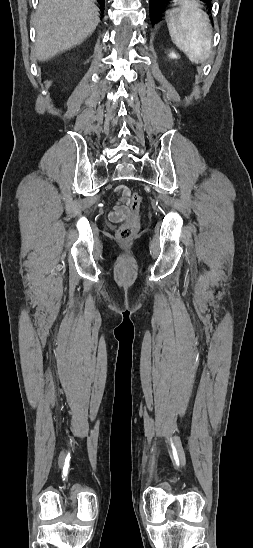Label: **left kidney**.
<instances>
[{
    "label": "left kidney",
    "instance_id": "5707ae66",
    "mask_svg": "<svg viewBox=\"0 0 253 548\" xmlns=\"http://www.w3.org/2000/svg\"><path fill=\"white\" fill-rule=\"evenodd\" d=\"M169 57H170V58H173V59H177V58H178V56H177L174 52H171V53L169 54Z\"/></svg>",
    "mask_w": 253,
    "mask_h": 548
}]
</instances>
